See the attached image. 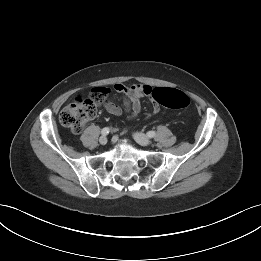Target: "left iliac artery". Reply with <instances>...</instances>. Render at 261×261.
I'll return each instance as SVG.
<instances>
[{
	"mask_svg": "<svg viewBox=\"0 0 261 261\" xmlns=\"http://www.w3.org/2000/svg\"><path fill=\"white\" fill-rule=\"evenodd\" d=\"M156 132L155 131H149L147 132V136L150 138H153L155 136Z\"/></svg>",
	"mask_w": 261,
	"mask_h": 261,
	"instance_id": "1",
	"label": "left iliac artery"
}]
</instances>
